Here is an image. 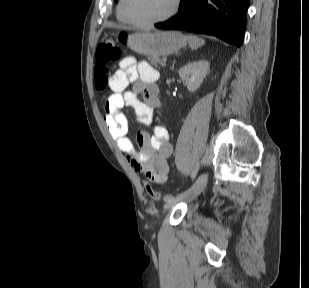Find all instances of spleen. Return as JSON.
Listing matches in <instances>:
<instances>
[{"instance_id": "spleen-1", "label": "spleen", "mask_w": 309, "mask_h": 288, "mask_svg": "<svg viewBox=\"0 0 309 288\" xmlns=\"http://www.w3.org/2000/svg\"><path fill=\"white\" fill-rule=\"evenodd\" d=\"M186 39L188 40V43H189L190 48L192 50H196V49H198L199 47H201L205 44L204 39H202L198 36H195V35H187Z\"/></svg>"}]
</instances>
